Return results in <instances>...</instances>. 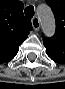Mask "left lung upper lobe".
<instances>
[{"instance_id":"obj_1","label":"left lung upper lobe","mask_w":65,"mask_h":89,"mask_svg":"<svg viewBox=\"0 0 65 89\" xmlns=\"http://www.w3.org/2000/svg\"><path fill=\"white\" fill-rule=\"evenodd\" d=\"M56 19V32L50 39L65 44V0H46Z\"/></svg>"}]
</instances>
